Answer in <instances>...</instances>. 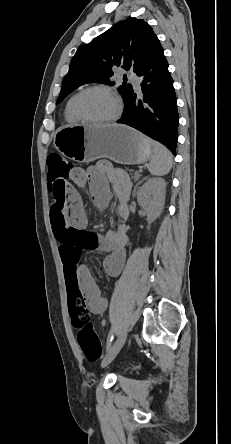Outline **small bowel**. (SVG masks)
Returning <instances> with one entry per match:
<instances>
[{"label": "small bowel", "instance_id": "small-bowel-1", "mask_svg": "<svg viewBox=\"0 0 231 444\" xmlns=\"http://www.w3.org/2000/svg\"><path fill=\"white\" fill-rule=\"evenodd\" d=\"M70 183L58 193L51 207L50 221L53 234L59 243V253L63 264L67 289L75 287L81 293L87 309L93 314H102L108 305L107 299L93 279L89 269L80 263L83 250H100L106 253L103 268L110 276L119 275L125 261V247L128 242L123 220L127 218V200L130 181L110 164L101 162L87 171L71 176ZM89 186L94 204L98 208L107 206L112 186L119 206L121 220L113 229L99 234L86 229V215L76 187ZM76 186V187H75Z\"/></svg>", "mask_w": 231, "mask_h": 444}]
</instances>
